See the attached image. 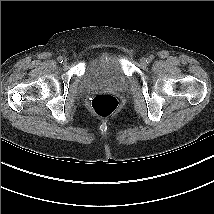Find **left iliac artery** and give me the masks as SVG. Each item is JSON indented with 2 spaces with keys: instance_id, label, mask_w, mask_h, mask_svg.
I'll return each instance as SVG.
<instances>
[{
  "instance_id": "left-iliac-artery-1",
  "label": "left iliac artery",
  "mask_w": 214,
  "mask_h": 214,
  "mask_svg": "<svg viewBox=\"0 0 214 214\" xmlns=\"http://www.w3.org/2000/svg\"><path fill=\"white\" fill-rule=\"evenodd\" d=\"M153 59H154V56H153V55H150L148 60H149V62H150V61L153 60Z\"/></svg>"
}]
</instances>
